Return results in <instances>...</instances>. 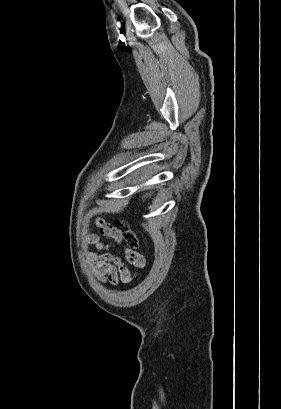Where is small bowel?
<instances>
[{
	"instance_id": "obj_1",
	"label": "small bowel",
	"mask_w": 281,
	"mask_h": 409,
	"mask_svg": "<svg viewBox=\"0 0 281 409\" xmlns=\"http://www.w3.org/2000/svg\"><path fill=\"white\" fill-rule=\"evenodd\" d=\"M98 235H103L113 239L116 241L115 243L117 245L120 243L121 233L102 219H97L95 221V226L88 227V234L85 237V242L88 245L95 246L98 250H103L106 248V246L100 242ZM123 250L126 253L129 267L142 268L144 266V258L137 250H132L129 252V244H124ZM87 256L90 260L95 262L96 273L100 279L112 285H117L120 282L126 283L131 281L132 278L135 280L138 278L136 275L133 277L128 266L121 260L120 257L115 256L112 253L104 252L98 254L91 251L87 253Z\"/></svg>"
}]
</instances>
